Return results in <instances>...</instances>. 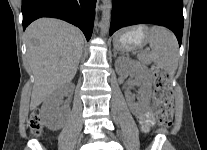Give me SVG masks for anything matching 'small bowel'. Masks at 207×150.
Returning <instances> with one entry per match:
<instances>
[{"instance_id":"1","label":"small bowel","mask_w":207,"mask_h":150,"mask_svg":"<svg viewBox=\"0 0 207 150\" xmlns=\"http://www.w3.org/2000/svg\"><path fill=\"white\" fill-rule=\"evenodd\" d=\"M141 128L143 131H148L150 126H152L154 117L151 111H148L139 117Z\"/></svg>"}]
</instances>
